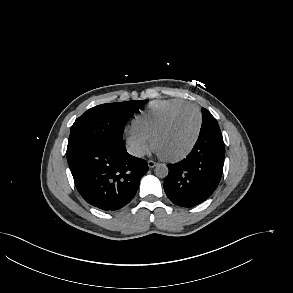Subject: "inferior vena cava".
<instances>
[{"label":"inferior vena cava","instance_id":"1","mask_svg":"<svg viewBox=\"0 0 293 293\" xmlns=\"http://www.w3.org/2000/svg\"><path fill=\"white\" fill-rule=\"evenodd\" d=\"M127 151L135 157H143L145 155L144 149L140 146H129Z\"/></svg>","mask_w":293,"mask_h":293}]
</instances>
